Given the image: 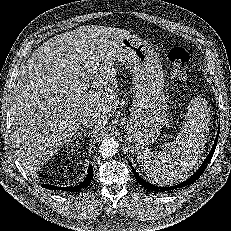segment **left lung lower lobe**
I'll list each match as a JSON object with an SVG mask.
<instances>
[{
	"label": "left lung lower lobe",
	"instance_id": "obj_1",
	"mask_svg": "<svg viewBox=\"0 0 231 231\" xmlns=\"http://www.w3.org/2000/svg\"><path fill=\"white\" fill-rule=\"evenodd\" d=\"M218 137H219V127H218V133H217V136H216V139H215V142H214V145L211 149V151L209 152V155L207 156V158L205 159V161L203 162V164L199 167V169L195 172L194 175H192L189 179H187L186 181L178 184V185H175V186H170V187H158V186H155V185H152L150 184L149 182L145 181L143 178H141L138 173L135 171V169L131 166L132 168V171L134 173V176L137 180V182L139 184H141L145 189L149 190V191H170V190H174V189H177V188H180V187H184V186H188L190 184H193L204 172V170L206 169L208 163L210 162L213 154H214V151H215V148H216V145H217V141H218Z\"/></svg>",
	"mask_w": 231,
	"mask_h": 231
}]
</instances>
